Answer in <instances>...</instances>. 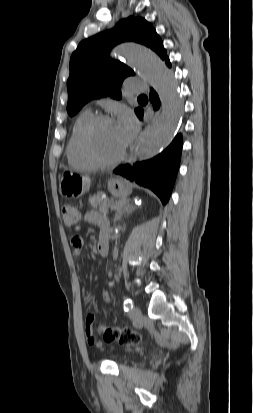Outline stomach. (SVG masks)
I'll use <instances>...</instances> for the list:
<instances>
[{
	"label": "stomach",
	"mask_w": 253,
	"mask_h": 413,
	"mask_svg": "<svg viewBox=\"0 0 253 413\" xmlns=\"http://www.w3.org/2000/svg\"><path fill=\"white\" fill-rule=\"evenodd\" d=\"M90 178L88 176L65 171L62 173L59 191L67 198H79L90 189ZM109 192L116 198H126L132 192L129 184L121 178H113L108 182Z\"/></svg>",
	"instance_id": "1"
}]
</instances>
